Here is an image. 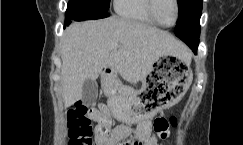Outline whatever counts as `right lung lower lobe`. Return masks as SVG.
<instances>
[{"mask_svg":"<svg viewBox=\"0 0 243 145\" xmlns=\"http://www.w3.org/2000/svg\"><path fill=\"white\" fill-rule=\"evenodd\" d=\"M65 15V23L70 24L72 21L105 18L109 16V13L88 4L69 3Z\"/></svg>","mask_w":243,"mask_h":145,"instance_id":"98d812e1","label":"right lung lower lobe"}]
</instances>
